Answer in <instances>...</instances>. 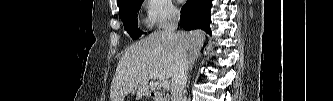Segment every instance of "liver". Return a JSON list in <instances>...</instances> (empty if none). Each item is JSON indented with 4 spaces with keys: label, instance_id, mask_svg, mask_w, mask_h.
<instances>
[{
    "label": "liver",
    "instance_id": "obj_1",
    "mask_svg": "<svg viewBox=\"0 0 333 101\" xmlns=\"http://www.w3.org/2000/svg\"><path fill=\"white\" fill-rule=\"evenodd\" d=\"M186 51L202 46L205 33L200 30L176 34ZM173 41L164 31H155L148 37L131 45L121 57L111 84V101H124L125 97L138 88L136 99L149 92L150 74L159 80L172 78L175 66Z\"/></svg>",
    "mask_w": 333,
    "mask_h": 101
}]
</instances>
